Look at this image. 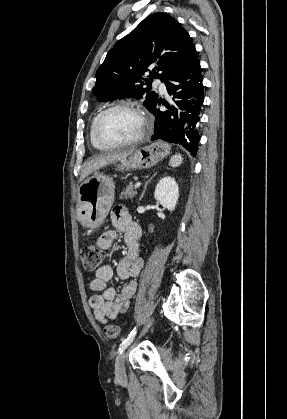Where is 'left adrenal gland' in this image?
<instances>
[{
  "mask_svg": "<svg viewBox=\"0 0 287 419\" xmlns=\"http://www.w3.org/2000/svg\"><path fill=\"white\" fill-rule=\"evenodd\" d=\"M155 175H156V173L145 183V185H144V189H143V192H142V194H141V196H140V198H139V202L142 200V198H143V196H144V194H145V191H146V189H147V185H148V183L155 177Z\"/></svg>",
  "mask_w": 287,
  "mask_h": 419,
  "instance_id": "obj_1",
  "label": "left adrenal gland"
}]
</instances>
